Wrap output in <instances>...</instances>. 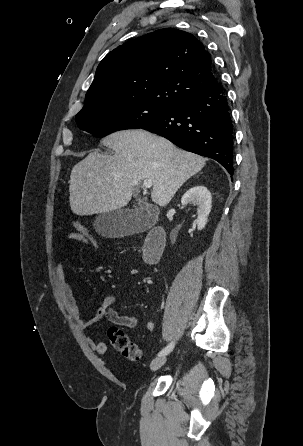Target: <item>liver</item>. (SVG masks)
<instances>
[{"instance_id":"6515ba94","label":"liver","mask_w":303,"mask_h":446,"mask_svg":"<svg viewBox=\"0 0 303 446\" xmlns=\"http://www.w3.org/2000/svg\"><path fill=\"white\" fill-rule=\"evenodd\" d=\"M102 144L114 150V155L91 152L71 171L69 201L76 215L123 208L132 197L134 182L144 180L153 183L152 201L164 207L206 163L203 157L141 129L113 133Z\"/></svg>"}]
</instances>
